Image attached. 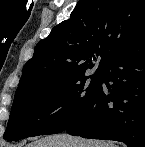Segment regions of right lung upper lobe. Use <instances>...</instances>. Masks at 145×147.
I'll list each match as a JSON object with an SVG mask.
<instances>
[{
  "mask_svg": "<svg viewBox=\"0 0 145 147\" xmlns=\"http://www.w3.org/2000/svg\"><path fill=\"white\" fill-rule=\"evenodd\" d=\"M145 32V0H79L68 20L38 42L24 65L16 93L57 88L94 67L101 72L127 44Z\"/></svg>",
  "mask_w": 145,
  "mask_h": 147,
  "instance_id": "1",
  "label": "right lung upper lobe"
}]
</instances>
